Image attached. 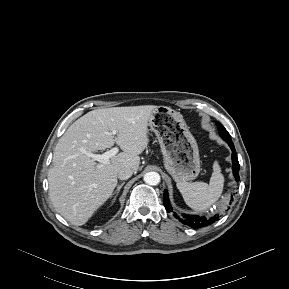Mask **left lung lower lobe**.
Returning a JSON list of instances; mask_svg holds the SVG:
<instances>
[{"instance_id":"obj_1","label":"left lung lower lobe","mask_w":289,"mask_h":289,"mask_svg":"<svg viewBox=\"0 0 289 289\" xmlns=\"http://www.w3.org/2000/svg\"><path fill=\"white\" fill-rule=\"evenodd\" d=\"M223 139L228 143V145L230 146V148L232 150V170H233L235 180L239 181L240 180L239 174H238L239 162H238V158L236 156V150H235L234 144L231 140V137H224ZM232 199L233 198L231 197V200ZM163 202H164L165 209L168 212H173V208L170 204V201L168 198V193L166 190L164 191ZM173 214H174V217L177 218L180 222H182L183 224L188 225L194 229L208 226V225L214 223L216 220H218V216H214L212 218H206V217H200V216H195V215H186V214H183L182 216H180L176 212H173Z\"/></svg>"}]
</instances>
